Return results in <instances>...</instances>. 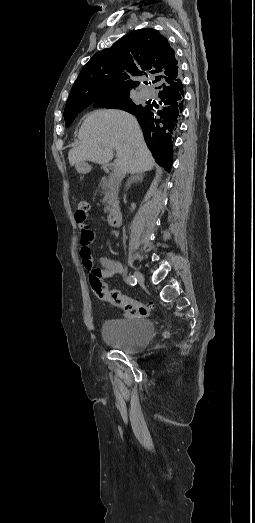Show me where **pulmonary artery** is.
<instances>
[{
    "label": "pulmonary artery",
    "mask_w": 255,
    "mask_h": 523,
    "mask_svg": "<svg viewBox=\"0 0 255 523\" xmlns=\"http://www.w3.org/2000/svg\"><path fill=\"white\" fill-rule=\"evenodd\" d=\"M155 90L151 88H143L140 90V96L143 99H150L152 96H154Z\"/></svg>",
    "instance_id": "e3ab8cb5"
}]
</instances>
